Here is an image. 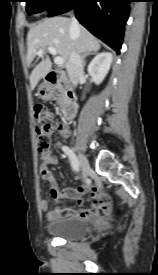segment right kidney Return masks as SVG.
Masks as SVG:
<instances>
[{
    "label": "right kidney",
    "instance_id": "right-kidney-1",
    "mask_svg": "<svg viewBox=\"0 0 158 275\" xmlns=\"http://www.w3.org/2000/svg\"><path fill=\"white\" fill-rule=\"evenodd\" d=\"M113 61V55L109 52H102L96 55L88 65V73L92 77L93 82L99 85L110 69Z\"/></svg>",
    "mask_w": 158,
    "mask_h": 275
}]
</instances>
